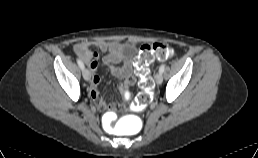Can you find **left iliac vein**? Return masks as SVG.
<instances>
[{
  "label": "left iliac vein",
  "mask_w": 258,
  "mask_h": 158,
  "mask_svg": "<svg viewBox=\"0 0 258 158\" xmlns=\"http://www.w3.org/2000/svg\"><path fill=\"white\" fill-rule=\"evenodd\" d=\"M155 81L157 84H161L162 81H163V75L161 72H158L156 75H155Z\"/></svg>",
  "instance_id": "left-iliac-vein-1"
}]
</instances>
